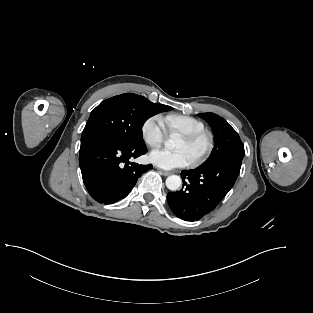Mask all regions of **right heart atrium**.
<instances>
[{
    "label": "right heart atrium",
    "instance_id": "obj_1",
    "mask_svg": "<svg viewBox=\"0 0 313 313\" xmlns=\"http://www.w3.org/2000/svg\"><path fill=\"white\" fill-rule=\"evenodd\" d=\"M141 134L148 146L156 148L162 145L167 135L162 118L160 116L147 118L142 125Z\"/></svg>",
    "mask_w": 313,
    "mask_h": 313
}]
</instances>
